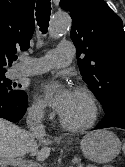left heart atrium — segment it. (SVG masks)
<instances>
[{
	"label": "left heart atrium",
	"mask_w": 125,
	"mask_h": 167,
	"mask_svg": "<svg viewBox=\"0 0 125 167\" xmlns=\"http://www.w3.org/2000/svg\"><path fill=\"white\" fill-rule=\"evenodd\" d=\"M41 92L46 102L61 115L67 109L73 96V90L68 85L55 81L43 83Z\"/></svg>",
	"instance_id": "obj_1"
}]
</instances>
